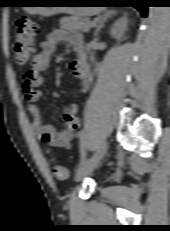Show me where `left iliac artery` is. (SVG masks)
Wrapping results in <instances>:
<instances>
[{
    "label": "left iliac artery",
    "instance_id": "left-iliac-artery-1",
    "mask_svg": "<svg viewBox=\"0 0 170 231\" xmlns=\"http://www.w3.org/2000/svg\"><path fill=\"white\" fill-rule=\"evenodd\" d=\"M84 138H85V131L82 130L81 133H80V140H81V143H82V149H81V158H80L79 166L84 164L87 161L86 152L84 150Z\"/></svg>",
    "mask_w": 170,
    "mask_h": 231
}]
</instances>
